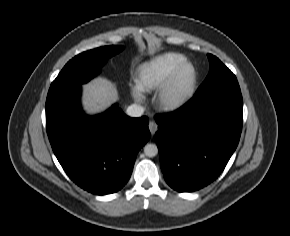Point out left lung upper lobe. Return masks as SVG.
I'll return each instance as SVG.
<instances>
[{
  "label": "left lung upper lobe",
  "mask_w": 290,
  "mask_h": 236,
  "mask_svg": "<svg viewBox=\"0 0 290 236\" xmlns=\"http://www.w3.org/2000/svg\"><path fill=\"white\" fill-rule=\"evenodd\" d=\"M207 56L210 62V71L197 93L237 81L236 76L217 57L211 54H207Z\"/></svg>",
  "instance_id": "left-lung-upper-lobe-1"
}]
</instances>
